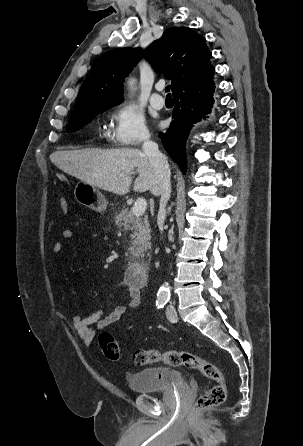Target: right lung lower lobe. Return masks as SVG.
<instances>
[{
	"label": "right lung lower lobe",
	"instance_id": "1",
	"mask_svg": "<svg viewBox=\"0 0 303 446\" xmlns=\"http://www.w3.org/2000/svg\"><path fill=\"white\" fill-rule=\"evenodd\" d=\"M215 83L213 76L190 84L173 93L174 110L172 122L165 132H160L159 137L165 150L179 165L182 172H186L185 144L193 123L205 114L210 113L213 106V93Z\"/></svg>",
	"mask_w": 303,
	"mask_h": 446
}]
</instances>
